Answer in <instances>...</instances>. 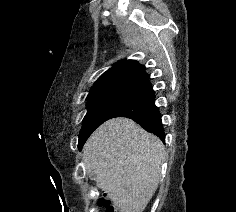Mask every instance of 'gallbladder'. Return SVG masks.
Listing matches in <instances>:
<instances>
[{
    "instance_id": "1",
    "label": "gallbladder",
    "mask_w": 236,
    "mask_h": 212,
    "mask_svg": "<svg viewBox=\"0 0 236 212\" xmlns=\"http://www.w3.org/2000/svg\"><path fill=\"white\" fill-rule=\"evenodd\" d=\"M90 177H91V179L95 180V179H96L95 173L92 172V173L90 174Z\"/></svg>"
}]
</instances>
